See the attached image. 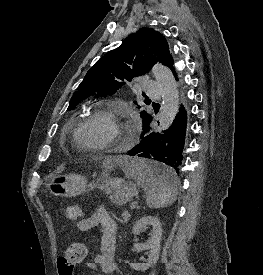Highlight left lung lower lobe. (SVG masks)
<instances>
[{
    "instance_id": "obj_1",
    "label": "left lung lower lobe",
    "mask_w": 263,
    "mask_h": 275,
    "mask_svg": "<svg viewBox=\"0 0 263 275\" xmlns=\"http://www.w3.org/2000/svg\"><path fill=\"white\" fill-rule=\"evenodd\" d=\"M172 66L173 60L168 67L173 69ZM150 122L151 117L143 123L140 142L127 154L156 162V165L151 164L153 167L150 173L165 182H172L182 166V154L187 131L186 110L182 106L171 127L164 130L163 133H150Z\"/></svg>"
}]
</instances>
